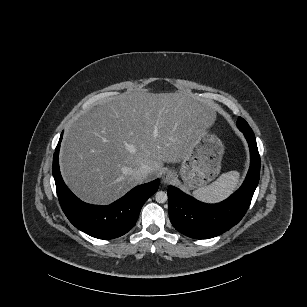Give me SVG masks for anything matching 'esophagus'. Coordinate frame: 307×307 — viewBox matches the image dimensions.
I'll return each instance as SVG.
<instances>
[{
	"instance_id": "1",
	"label": "esophagus",
	"mask_w": 307,
	"mask_h": 307,
	"mask_svg": "<svg viewBox=\"0 0 307 307\" xmlns=\"http://www.w3.org/2000/svg\"><path fill=\"white\" fill-rule=\"evenodd\" d=\"M174 176H175L174 171L168 170L167 172L164 173V175H163V177H162L163 182H164L165 184L169 183V182L172 180V178H173Z\"/></svg>"
}]
</instances>
